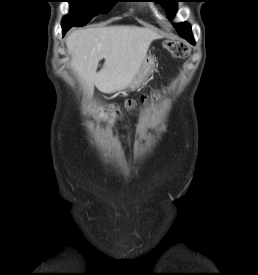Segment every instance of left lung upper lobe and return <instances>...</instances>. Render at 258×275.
Returning a JSON list of instances; mask_svg holds the SVG:
<instances>
[{
  "mask_svg": "<svg viewBox=\"0 0 258 275\" xmlns=\"http://www.w3.org/2000/svg\"><path fill=\"white\" fill-rule=\"evenodd\" d=\"M177 2L178 0H159V3H161L166 8L167 17L169 18H172L175 15L177 11ZM174 26L180 36L191 32V27L188 23H179Z\"/></svg>",
  "mask_w": 258,
  "mask_h": 275,
  "instance_id": "obj_1",
  "label": "left lung upper lobe"
}]
</instances>
